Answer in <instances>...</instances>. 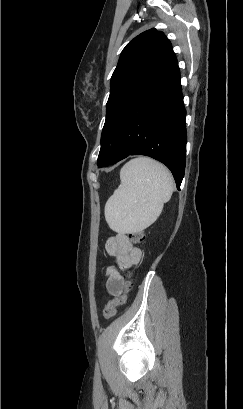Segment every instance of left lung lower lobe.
<instances>
[{
  "label": "left lung lower lobe",
  "mask_w": 243,
  "mask_h": 409,
  "mask_svg": "<svg viewBox=\"0 0 243 409\" xmlns=\"http://www.w3.org/2000/svg\"><path fill=\"white\" fill-rule=\"evenodd\" d=\"M185 117L180 71L173 54L123 117L117 132L116 153L108 165L129 155H146L165 164L180 189L185 171Z\"/></svg>",
  "instance_id": "left-lung-lower-lobe-1"
}]
</instances>
